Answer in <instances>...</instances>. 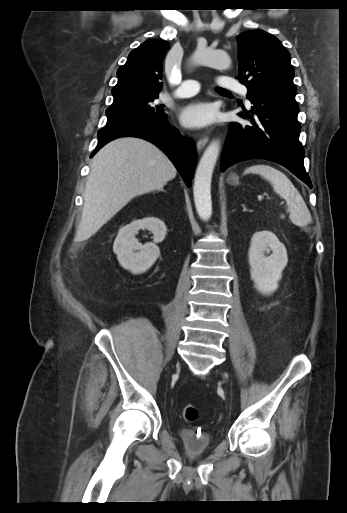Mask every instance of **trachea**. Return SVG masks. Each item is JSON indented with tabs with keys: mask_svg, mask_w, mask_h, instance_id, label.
Listing matches in <instances>:
<instances>
[{
	"mask_svg": "<svg viewBox=\"0 0 347 513\" xmlns=\"http://www.w3.org/2000/svg\"><path fill=\"white\" fill-rule=\"evenodd\" d=\"M217 92L219 93H226V94H230L229 91H227L226 89H223V88H216Z\"/></svg>",
	"mask_w": 347,
	"mask_h": 513,
	"instance_id": "3493384b",
	"label": "trachea"
}]
</instances>
